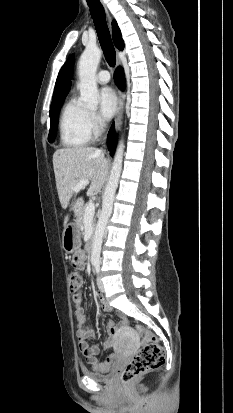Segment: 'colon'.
Returning a JSON list of instances; mask_svg holds the SVG:
<instances>
[{
  "label": "colon",
  "instance_id": "5ec220e1",
  "mask_svg": "<svg viewBox=\"0 0 233 413\" xmlns=\"http://www.w3.org/2000/svg\"><path fill=\"white\" fill-rule=\"evenodd\" d=\"M68 283L73 294L79 291L83 278L80 273L73 269L68 273ZM136 330L142 336L144 345L121 372V379L125 383L147 371L160 367L165 359L164 350L157 343L155 335L140 325L136 327Z\"/></svg>",
  "mask_w": 233,
  "mask_h": 413
}]
</instances>
